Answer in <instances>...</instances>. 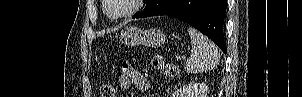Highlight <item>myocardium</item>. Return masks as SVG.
I'll return each mask as SVG.
<instances>
[{"mask_svg":"<svg viewBox=\"0 0 302 97\" xmlns=\"http://www.w3.org/2000/svg\"><path fill=\"white\" fill-rule=\"evenodd\" d=\"M143 2H144V0H131L132 5H131L130 9H128L124 13L116 15V14H113L109 9L110 0H104L103 1V3H104V12L110 19H113V20L124 19V18L130 17V16L136 14L141 9Z\"/></svg>","mask_w":302,"mask_h":97,"instance_id":"1","label":"myocardium"}]
</instances>
